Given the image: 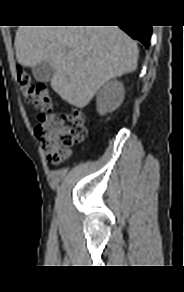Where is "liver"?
<instances>
[{
  "instance_id": "liver-1",
  "label": "liver",
  "mask_w": 184,
  "mask_h": 292,
  "mask_svg": "<svg viewBox=\"0 0 184 292\" xmlns=\"http://www.w3.org/2000/svg\"><path fill=\"white\" fill-rule=\"evenodd\" d=\"M18 63L54 68L52 89L83 108L112 78L136 70L138 47L118 26H20L15 37Z\"/></svg>"
}]
</instances>
